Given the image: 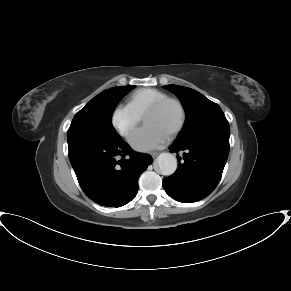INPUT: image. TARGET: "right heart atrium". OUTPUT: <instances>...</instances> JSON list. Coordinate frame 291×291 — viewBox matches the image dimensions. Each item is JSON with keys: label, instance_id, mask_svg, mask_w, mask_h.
I'll use <instances>...</instances> for the list:
<instances>
[{"label": "right heart atrium", "instance_id": "right-heart-atrium-1", "mask_svg": "<svg viewBox=\"0 0 291 291\" xmlns=\"http://www.w3.org/2000/svg\"><path fill=\"white\" fill-rule=\"evenodd\" d=\"M141 118L142 116L130 104H118L113 110L111 121L113 127L120 135L129 137L140 123Z\"/></svg>", "mask_w": 291, "mask_h": 291}]
</instances>
